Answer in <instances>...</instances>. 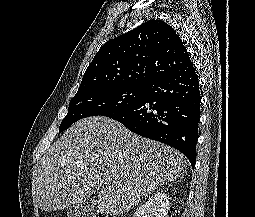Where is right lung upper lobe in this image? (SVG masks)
<instances>
[{"instance_id":"obj_1","label":"right lung upper lobe","mask_w":255,"mask_h":217,"mask_svg":"<svg viewBox=\"0 0 255 217\" xmlns=\"http://www.w3.org/2000/svg\"><path fill=\"white\" fill-rule=\"evenodd\" d=\"M189 61L176 31L162 20H149L100 48L78 91L117 85L147 86Z\"/></svg>"}]
</instances>
